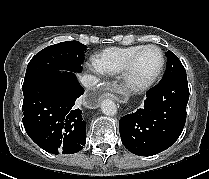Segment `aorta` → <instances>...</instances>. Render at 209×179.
Masks as SVG:
<instances>
[{
	"label": "aorta",
	"mask_w": 209,
	"mask_h": 179,
	"mask_svg": "<svg viewBox=\"0 0 209 179\" xmlns=\"http://www.w3.org/2000/svg\"><path fill=\"white\" fill-rule=\"evenodd\" d=\"M101 110L107 116H113L117 113V107L111 99H105L101 103Z\"/></svg>",
	"instance_id": "obj_1"
}]
</instances>
